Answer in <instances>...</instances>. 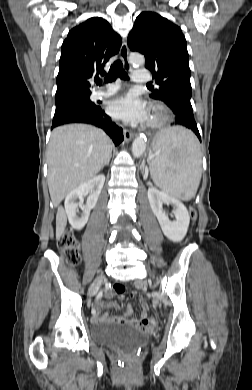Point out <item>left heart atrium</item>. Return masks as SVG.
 Returning <instances> with one entry per match:
<instances>
[{
	"label": "left heart atrium",
	"mask_w": 252,
	"mask_h": 390,
	"mask_svg": "<svg viewBox=\"0 0 252 390\" xmlns=\"http://www.w3.org/2000/svg\"><path fill=\"white\" fill-rule=\"evenodd\" d=\"M110 114L131 124L147 121L149 111L146 103L133 93H128L113 100L109 106Z\"/></svg>",
	"instance_id": "obj_1"
}]
</instances>
